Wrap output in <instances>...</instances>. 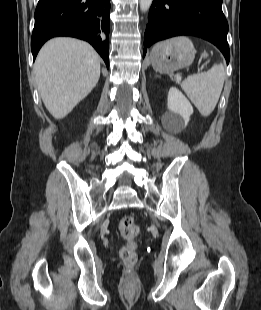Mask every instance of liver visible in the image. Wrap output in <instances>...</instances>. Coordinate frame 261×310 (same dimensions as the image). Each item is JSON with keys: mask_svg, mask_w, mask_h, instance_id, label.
<instances>
[{"mask_svg": "<svg viewBox=\"0 0 261 310\" xmlns=\"http://www.w3.org/2000/svg\"><path fill=\"white\" fill-rule=\"evenodd\" d=\"M34 74L45 107L54 118L62 119L96 86L100 58L84 41L54 38L40 50Z\"/></svg>", "mask_w": 261, "mask_h": 310, "instance_id": "6515ba94", "label": "liver"}]
</instances>
